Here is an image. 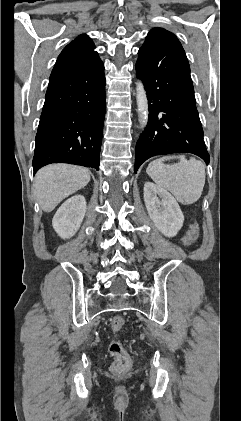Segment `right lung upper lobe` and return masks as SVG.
Wrapping results in <instances>:
<instances>
[{"label": "right lung upper lobe", "instance_id": "right-lung-upper-lobe-1", "mask_svg": "<svg viewBox=\"0 0 241 421\" xmlns=\"http://www.w3.org/2000/svg\"><path fill=\"white\" fill-rule=\"evenodd\" d=\"M94 49L95 45L92 40L87 35H80L63 49L55 63L51 76L98 58V54Z\"/></svg>", "mask_w": 241, "mask_h": 421}]
</instances>
